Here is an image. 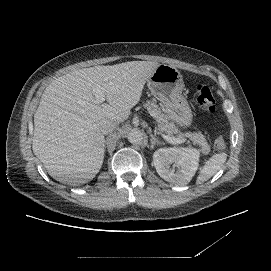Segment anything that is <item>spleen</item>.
I'll return each mask as SVG.
<instances>
[{"mask_svg": "<svg viewBox=\"0 0 271 271\" xmlns=\"http://www.w3.org/2000/svg\"><path fill=\"white\" fill-rule=\"evenodd\" d=\"M228 154L226 152L214 153L209 157L200 169L195 185H201L214 176L226 163Z\"/></svg>", "mask_w": 271, "mask_h": 271, "instance_id": "spleen-1", "label": "spleen"}]
</instances>
